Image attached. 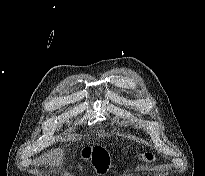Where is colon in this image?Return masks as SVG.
I'll list each match as a JSON object with an SVG mask.
<instances>
[{"instance_id":"obj_1","label":"colon","mask_w":205,"mask_h":176,"mask_svg":"<svg viewBox=\"0 0 205 176\" xmlns=\"http://www.w3.org/2000/svg\"><path fill=\"white\" fill-rule=\"evenodd\" d=\"M85 159H90L91 164L101 172H105L109 166V157L106 151L101 148H92L84 153ZM136 162H153L154 156L152 153L146 152L138 155Z\"/></svg>"}]
</instances>
